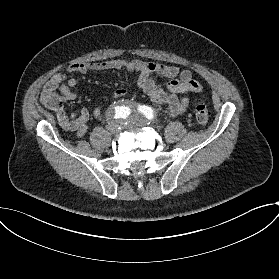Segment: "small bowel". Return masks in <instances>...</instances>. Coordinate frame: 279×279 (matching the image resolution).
Wrapping results in <instances>:
<instances>
[{"instance_id":"obj_1","label":"small bowel","mask_w":279,"mask_h":279,"mask_svg":"<svg viewBox=\"0 0 279 279\" xmlns=\"http://www.w3.org/2000/svg\"><path fill=\"white\" fill-rule=\"evenodd\" d=\"M127 70L139 74V87L155 102L166 106L168 117L182 114L189 105V100L184 96L187 92H200L202 85L194 79L191 71L180 69L176 66L158 62L143 61L139 59H108L99 62L77 63L69 66L66 71L55 74L43 87L40 103L43 107L56 113L59 125L65 130L83 136L88 128L90 112L81 108L74 114H69L65 109L67 101H74L77 95L72 88L77 85L74 74H86L91 71ZM162 75L169 79L165 87L155 83L152 76ZM125 89H118L116 97L125 96ZM92 116L99 118L102 110L96 106Z\"/></svg>"}]
</instances>
